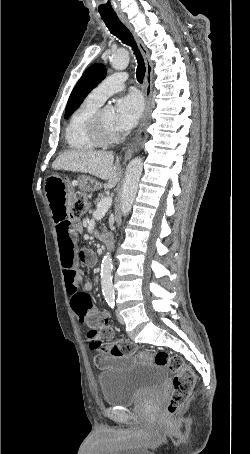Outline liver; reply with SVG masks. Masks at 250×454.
Instances as JSON below:
<instances>
[{
	"instance_id": "liver-1",
	"label": "liver",
	"mask_w": 250,
	"mask_h": 454,
	"mask_svg": "<svg viewBox=\"0 0 250 454\" xmlns=\"http://www.w3.org/2000/svg\"><path fill=\"white\" fill-rule=\"evenodd\" d=\"M54 170L89 173L108 182L106 189L114 188L119 177V163L114 164L112 152L70 150L60 154L52 163Z\"/></svg>"
}]
</instances>
